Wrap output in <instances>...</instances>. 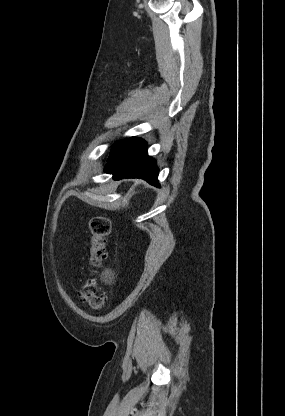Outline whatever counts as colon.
<instances>
[{"instance_id":"5ec220e1","label":"colon","mask_w":285,"mask_h":416,"mask_svg":"<svg viewBox=\"0 0 285 416\" xmlns=\"http://www.w3.org/2000/svg\"><path fill=\"white\" fill-rule=\"evenodd\" d=\"M90 228V264L92 271L80 289L81 297L93 310H101L107 304V296L100 288L95 277V269L107 257L106 244L111 235V220L105 216H96L89 223Z\"/></svg>"}]
</instances>
